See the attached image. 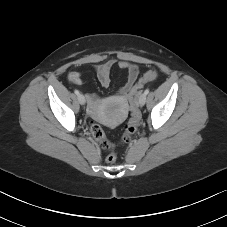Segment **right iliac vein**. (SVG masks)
Segmentation results:
<instances>
[{
    "instance_id": "63e3f726",
    "label": "right iliac vein",
    "mask_w": 227,
    "mask_h": 227,
    "mask_svg": "<svg viewBox=\"0 0 227 227\" xmlns=\"http://www.w3.org/2000/svg\"><path fill=\"white\" fill-rule=\"evenodd\" d=\"M78 101H79V103H80L81 105H84V104H85L86 99H85V97H84L83 94H79V95H78Z\"/></svg>"
}]
</instances>
